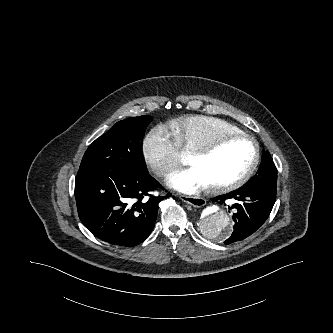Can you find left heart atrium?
I'll return each instance as SVG.
<instances>
[{
	"instance_id": "left-heart-atrium-1",
	"label": "left heart atrium",
	"mask_w": 333,
	"mask_h": 333,
	"mask_svg": "<svg viewBox=\"0 0 333 333\" xmlns=\"http://www.w3.org/2000/svg\"><path fill=\"white\" fill-rule=\"evenodd\" d=\"M167 184L180 192L193 194L209 186V183L201 171L191 167L171 174L167 179Z\"/></svg>"
}]
</instances>
